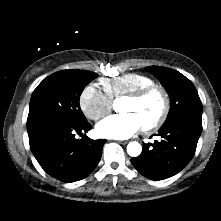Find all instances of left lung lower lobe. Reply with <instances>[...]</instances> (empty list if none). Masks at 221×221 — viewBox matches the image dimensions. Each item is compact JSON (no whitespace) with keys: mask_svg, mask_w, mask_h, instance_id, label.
I'll return each mask as SVG.
<instances>
[{"mask_svg":"<svg viewBox=\"0 0 221 221\" xmlns=\"http://www.w3.org/2000/svg\"><path fill=\"white\" fill-rule=\"evenodd\" d=\"M202 132V117L183 115L158 131L162 140L143 145L133 166L151 180H163L180 172L193 158Z\"/></svg>","mask_w":221,"mask_h":221,"instance_id":"0a47b994","label":"left lung lower lobe"}]
</instances>
